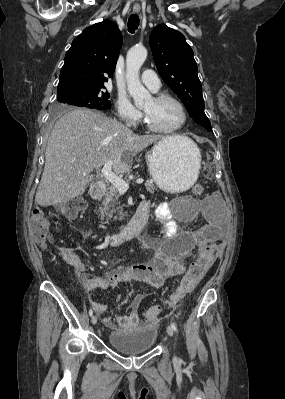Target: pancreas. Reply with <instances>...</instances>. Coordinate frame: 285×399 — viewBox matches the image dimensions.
<instances>
[{"label": "pancreas", "instance_id": "pancreas-1", "mask_svg": "<svg viewBox=\"0 0 285 399\" xmlns=\"http://www.w3.org/2000/svg\"><path fill=\"white\" fill-rule=\"evenodd\" d=\"M146 190L150 193H154L156 191L153 180H147L145 182ZM119 199V191L113 185H110L106 188L104 199L102 201V207L99 211V216L101 220L106 219L108 223L113 216V212L115 211V206L118 205Z\"/></svg>", "mask_w": 285, "mask_h": 399}]
</instances>
